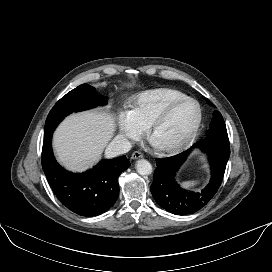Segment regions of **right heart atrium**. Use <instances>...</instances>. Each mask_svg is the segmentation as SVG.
Instances as JSON below:
<instances>
[{
    "mask_svg": "<svg viewBox=\"0 0 272 272\" xmlns=\"http://www.w3.org/2000/svg\"><path fill=\"white\" fill-rule=\"evenodd\" d=\"M118 123L121 134L127 139H139L144 132V129L136 123L129 111L120 114Z\"/></svg>",
    "mask_w": 272,
    "mask_h": 272,
    "instance_id": "1",
    "label": "right heart atrium"
}]
</instances>
